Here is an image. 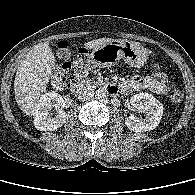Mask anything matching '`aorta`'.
<instances>
[{"mask_svg": "<svg viewBox=\"0 0 195 195\" xmlns=\"http://www.w3.org/2000/svg\"><path fill=\"white\" fill-rule=\"evenodd\" d=\"M95 97L97 98V99H103V98H105L106 97V91L105 90H97L96 91V93H95Z\"/></svg>", "mask_w": 195, "mask_h": 195, "instance_id": "762f6f07", "label": "aorta"}]
</instances>
